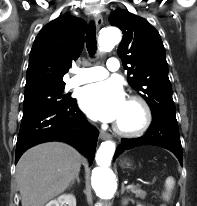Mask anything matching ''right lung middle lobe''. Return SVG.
Here are the masks:
<instances>
[{"mask_svg": "<svg viewBox=\"0 0 197 206\" xmlns=\"http://www.w3.org/2000/svg\"><path fill=\"white\" fill-rule=\"evenodd\" d=\"M64 87L65 85H43L25 88L23 117L68 104L72 98L63 94Z\"/></svg>", "mask_w": 197, "mask_h": 206, "instance_id": "1", "label": "right lung middle lobe"}]
</instances>
